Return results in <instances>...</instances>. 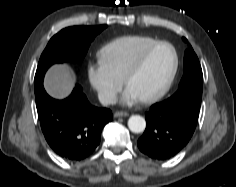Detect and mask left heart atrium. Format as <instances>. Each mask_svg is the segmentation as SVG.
<instances>
[{"mask_svg":"<svg viewBox=\"0 0 236 187\" xmlns=\"http://www.w3.org/2000/svg\"><path fill=\"white\" fill-rule=\"evenodd\" d=\"M138 99L139 98L137 97V95L131 89L127 87L123 95V102L126 104H130L137 101Z\"/></svg>","mask_w":236,"mask_h":187,"instance_id":"1","label":"left heart atrium"}]
</instances>
